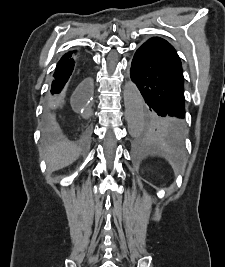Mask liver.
Returning <instances> with one entry per match:
<instances>
[{"instance_id": "liver-1", "label": "liver", "mask_w": 225, "mask_h": 267, "mask_svg": "<svg viewBox=\"0 0 225 267\" xmlns=\"http://www.w3.org/2000/svg\"><path fill=\"white\" fill-rule=\"evenodd\" d=\"M40 155L46 160L48 171L54 172L75 162L80 155V148L67 140H62L47 146Z\"/></svg>"}]
</instances>
